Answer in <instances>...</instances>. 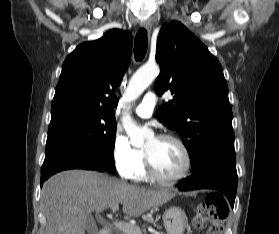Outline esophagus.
Masks as SVG:
<instances>
[{
  "label": "esophagus",
  "mask_w": 279,
  "mask_h": 234,
  "mask_svg": "<svg viewBox=\"0 0 279 234\" xmlns=\"http://www.w3.org/2000/svg\"><path fill=\"white\" fill-rule=\"evenodd\" d=\"M141 27L145 28V29L148 31V33H150V32H151V29H152L151 21H150V20H147V21H145V22H142V23H141Z\"/></svg>",
  "instance_id": "esophagus-1"
}]
</instances>
